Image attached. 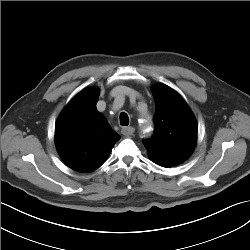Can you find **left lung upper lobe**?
Instances as JSON below:
<instances>
[{
    "mask_svg": "<svg viewBox=\"0 0 250 250\" xmlns=\"http://www.w3.org/2000/svg\"><path fill=\"white\" fill-rule=\"evenodd\" d=\"M156 113L154 135L144 146L151 159L182 162L192 153L197 139V123L183 98L160 84L152 88Z\"/></svg>",
    "mask_w": 250,
    "mask_h": 250,
    "instance_id": "1",
    "label": "left lung upper lobe"
}]
</instances>
